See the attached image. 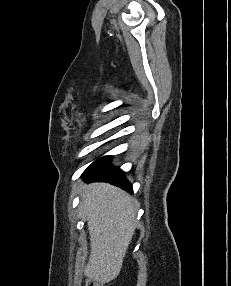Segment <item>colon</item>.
I'll return each instance as SVG.
<instances>
[{
    "label": "colon",
    "mask_w": 231,
    "mask_h": 286,
    "mask_svg": "<svg viewBox=\"0 0 231 286\" xmlns=\"http://www.w3.org/2000/svg\"><path fill=\"white\" fill-rule=\"evenodd\" d=\"M86 286H103L102 284H99L95 281L89 280L86 282Z\"/></svg>",
    "instance_id": "obj_1"
}]
</instances>
